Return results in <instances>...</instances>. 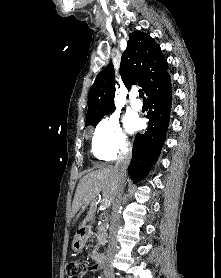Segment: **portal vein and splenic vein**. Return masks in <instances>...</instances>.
<instances>
[{
    "mask_svg": "<svg viewBox=\"0 0 221 278\" xmlns=\"http://www.w3.org/2000/svg\"><path fill=\"white\" fill-rule=\"evenodd\" d=\"M101 204L103 205V207H109L111 205V201L110 200H107V199H103L101 201Z\"/></svg>",
    "mask_w": 221,
    "mask_h": 278,
    "instance_id": "18ae733b",
    "label": "portal vein and splenic vein"
}]
</instances>
